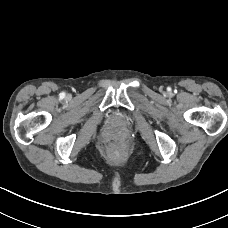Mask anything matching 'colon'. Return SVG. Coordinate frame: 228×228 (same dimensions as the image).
I'll return each instance as SVG.
<instances>
[{
  "label": "colon",
  "instance_id": "obj_1",
  "mask_svg": "<svg viewBox=\"0 0 228 228\" xmlns=\"http://www.w3.org/2000/svg\"><path fill=\"white\" fill-rule=\"evenodd\" d=\"M110 148H111L112 152H114V153H117L119 151V146L117 144L111 145Z\"/></svg>",
  "mask_w": 228,
  "mask_h": 228
}]
</instances>
